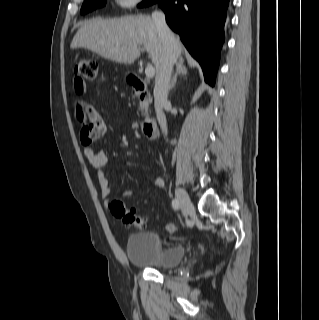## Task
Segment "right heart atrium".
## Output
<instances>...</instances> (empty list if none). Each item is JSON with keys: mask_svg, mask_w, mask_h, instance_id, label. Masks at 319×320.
Instances as JSON below:
<instances>
[{"mask_svg": "<svg viewBox=\"0 0 319 320\" xmlns=\"http://www.w3.org/2000/svg\"><path fill=\"white\" fill-rule=\"evenodd\" d=\"M142 0H115L116 5L122 9H129L137 4H139Z\"/></svg>", "mask_w": 319, "mask_h": 320, "instance_id": "right-heart-atrium-1", "label": "right heart atrium"}]
</instances>
